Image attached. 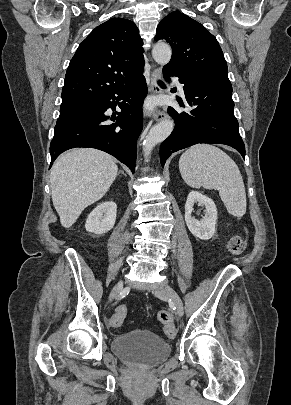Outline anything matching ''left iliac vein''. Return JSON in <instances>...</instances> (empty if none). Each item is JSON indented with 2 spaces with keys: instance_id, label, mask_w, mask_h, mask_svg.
I'll list each match as a JSON object with an SVG mask.
<instances>
[{
  "instance_id": "4c4485c4",
  "label": "left iliac vein",
  "mask_w": 291,
  "mask_h": 405,
  "mask_svg": "<svg viewBox=\"0 0 291 405\" xmlns=\"http://www.w3.org/2000/svg\"><path fill=\"white\" fill-rule=\"evenodd\" d=\"M154 293L159 298H169L176 308L177 314L182 317L184 312V307L182 300L178 293L168 285H161L154 290Z\"/></svg>"
}]
</instances>
